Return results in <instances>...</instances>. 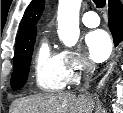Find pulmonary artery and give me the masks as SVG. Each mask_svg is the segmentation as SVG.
<instances>
[{"label": "pulmonary artery", "instance_id": "obj_1", "mask_svg": "<svg viewBox=\"0 0 123 113\" xmlns=\"http://www.w3.org/2000/svg\"><path fill=\"white\" fill-rule=\"evenodd\" d=\"M82 22L85 26L94 28L100 24V18L96 12L88 11L82 15Z\"/></svg>", "mask_w": 123, "mask_h": 113}]
</instances>
